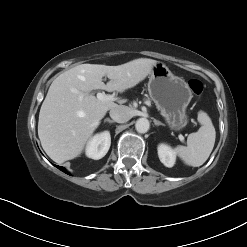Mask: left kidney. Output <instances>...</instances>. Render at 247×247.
<instances>
[{"label":"left kidney","instance_id":"1","mask_svg":"<svg viewBox=\"0 0 247 247\" xmlns=\"http://www.w3.org/2000/svg\"><path fill=\"white\" fill-rule=\"evenodd\" d=\"M158 156L160 161L166 167H173L176 161V153L175 151L166 144H160L158 146Z\"/></svg>","mask_w":247,"mask_h":247}]
</instances>
